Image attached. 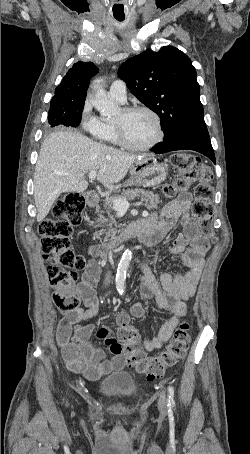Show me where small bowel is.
Wrapping results in <instances>:
<instances>
[{"instance_id": "c3829d8e", "label": "small bowel", "mask_w": 250, "mask_h": 454, "mask_svg": "<svg viewBox=\"0 0 250 454\" xmlns=\"http://www.w3.org/2000/svg\"><path fill=\"white\" fill-rule=\"evenodd\" d=\"M190 203V195L183 193L166 205L160 221L150 217L136 225L144 242H159L180 221L183 235L174 240L170 253L179 256L187 268L185 272L174 276L164 273L159 281L149 267L143 266L141 269L143 299L154 297L160 309L172 313L171 318L164 323L156 336L144 339L143 346L148 352L160 349L170 339L179 321L187 312L186 301L195 293L203 270L208 242L190 216ZM100 273V265L95 260L89 261L76 287V292L82 298L85 309L65 313L56 331V342L67 368L74 373L82 374L88 380H97L110 371L120 370L125 366L124 357L116 355L106 359L101 347L90 343L95 325L79 324L98 313L99 300L95 287ZM123 314H119L118 318ZM144 314L143 302L132 306V316L142 317Z\"/></svg>"}]
</instances>
